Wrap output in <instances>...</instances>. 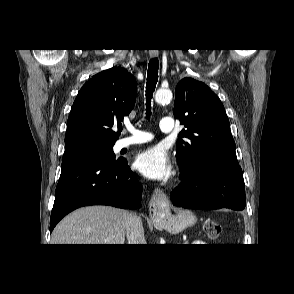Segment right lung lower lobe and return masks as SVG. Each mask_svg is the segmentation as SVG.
I'll list each match as a JSON object with an SVG mask.
<instances>
[{
	"label": "right lung lower lobe",
	"instance_id": "98d812e1",
	"mask_svg": "<svg viewBox=\"0 0 294 294\" xmlns=\"http://www.w3.org/2000/svg\"><path fill=\"white\" fill-rule=\"evenodd\" d=\"M142 185L127 160L82 156L62 161L50 218V232L69 212L88 205L138 208Z\"/></svg>",
	"mask_w": 294,
	"mask_h": 294
}]
</instances>
